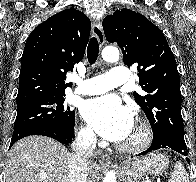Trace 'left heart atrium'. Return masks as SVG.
I'll return each instance as SVG.
<instances>
[{"label":"left heart atrium","mask_w":196,"mask_h":182,"mask_svg":"<svg viewBox=\"0 0 196 182\" xmlns=\"http://www.w3.org/2000/svg\"><path fill=\"white\" fill-rule=\"evenodd\" d=\"M81 113L99 135L116 143L122 142L134 125L132 111L113 94L87 100Z\"/></svg>","instance_id":"obj_1"}]
</instances>
